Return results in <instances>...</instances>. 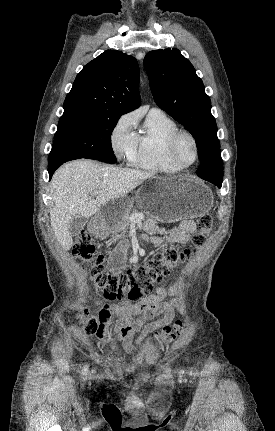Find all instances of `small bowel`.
<instances>
[{
	"label": "small bowel",
	"mask_w": 275,
	"mask_h": 431,
	"mask_svg": "<svg viewBox=\"0 0 275 431\" xmlns=\"http://www.w3.org/2000/svg\"><path fill=\"white\" fill-rule=\"evenodd\" d=\"M144 227L147 240L155 245L184 244L196 229L193 220H184L171 229L161 228L156 222L149 220ZM124 253L125 245L120 243L109 257L108 264L111 270L118 271L121 268ZM175 291V285L160 287L156 294L145 297L138 302L125 301L106 306L100 312L102 323L97 332V339L107 341V330L112 327L116 338L122 341L124 351L127 353L136 352L148 333L170 323L175 312L180 310L174 299L165 301L166 297ZM114 315L118 316L116 321H113ZM158 315H162V317L149 322ZM137 333L139 335L135 337Z\"/></svg>",
	"instance_id": "1"
}]
</instances>
